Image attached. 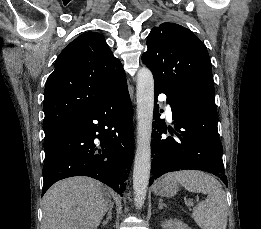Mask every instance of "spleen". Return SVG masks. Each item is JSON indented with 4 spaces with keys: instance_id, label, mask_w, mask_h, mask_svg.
<instances>
[{
    "instance_id": "3e777b00",
    "label": "spleen",
    "mask_w": 261,
    "mask_h": 229,
    "mask_svg": "<svg viewBox=\"0 0 261 229\" xmlns=\"http://www.w3.org/2000/svg\"><path fill=\"white\" fill-rule=\"evenodd\" d=\"M165 179L180 183L189 193L207 195L206 201L199 203L192 213L200 229H226L228 205L219 181L202 171H175L166 173Z\"/></svg>"
}]
</instances>
